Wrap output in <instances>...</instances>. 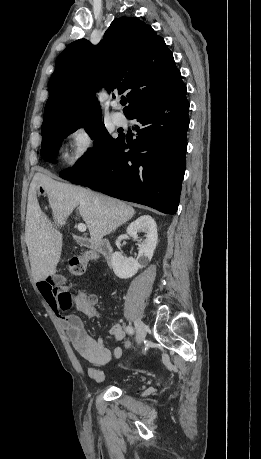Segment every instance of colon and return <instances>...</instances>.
Returning <instances> with one entry per match:
<instances>
[{"mask_svg": "<svg viewBox=\"0 0 261 459\" xmlns=\"http://www.w3.org/2000/svg\"><path fill=\"white\" fill-rule=\"evenodd\" d=\"M92 260L90 255H85L82 257H70L67 259L66 266L67 270L70 274L78 276L82 275L85 272L86 265L87 263ZM72 297L70 295H67L63 299L62 307L63 311H67L69 307L72 304ZM97 298L96 295L93 293H80L77 298L76 302L80 308L85 307V308H93L95 307ZM126 347L130 348L131 344L126 343Z\"/></svg>", "mask_w": 261, "mask_h": 459, "instance_id": "colon-1", "label": "colon"}]
</instances>
